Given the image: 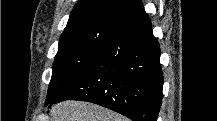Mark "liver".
Masks as SVG:
<instances>
[{
    "label": "liver",
    "mask_w": 217,
    "mask_h": 121,
    "mask_svg": "<svg viewBox=\"0 0 217 121\" xmlns=\"http://www.w3.org/2000/svg\"><path fill=\"white\" fill-rule=\"evenodd\" d=\"M49 115L50 121H128L109 109L80 101L56 104L50 109Z\"/></svg>",
    "instance_id": "liver-1"
}]
</instances>
